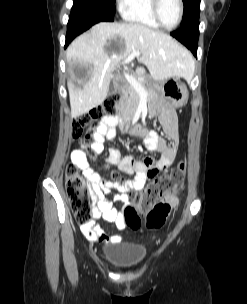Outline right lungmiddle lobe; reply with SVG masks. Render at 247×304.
Instances as JSON below:
<instances>
[{
	"instance_id": "right-lung-middle-lobe-1",
	"label": "right lung middle lobe",
	"mask_w": 247,
	"mask_h": 304,
	"mask_svg": "<svg viewBox=\"0 0 247 304\" xmlns=\"http://www.w3.org/2000/svg\"><path fill=\"white\" fill-rule=\"evenodd\" d=\"M71 12L96 13L113 17L115 0H74Z\"/></svg>"
}]
</instances>
